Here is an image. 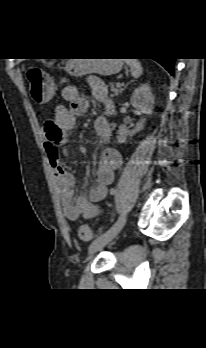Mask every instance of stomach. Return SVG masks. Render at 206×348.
<instances>
[{
  "instance_id": "stomach-1",
  "label": "stomach",
  "mask_w": 206,
  "mask_h": 348,
  "mask_svg": "<svg viewBox=\"0 0 206 348\" xmlns=\"http://www.w3.org/2000/svg\"><path fill=\"white\" fill-rule=\"evenodd\" d=\"M122 66L123 62L120 59H69L65 70L76 77L90 73L108 76L120 72ZM45 101V98L41 99L42 103Z\"/></svg>"
}]
</instances>
